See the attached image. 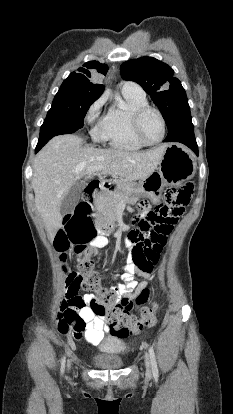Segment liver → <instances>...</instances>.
Masks as SVG:
<instances>
[{"mask_svg": "<svg viewBox=\"0 0 233 414\" xmlns=\"http://www.w3.org/2000/svg\"><path fill=\"white\" fill-rule=\"evenodd\" d=\"M83 143L77 135H59L52 138L34 159L32 187L35 205L51 239L62 226V201L72 185L96 172L93 168L102 166L103 174L119 176L127 181L143 180L155 171L167 146L138 152L98 149L83 146Z\"/></svg>", "mask_w": 233, "mask_h": 414, "instance_id": "obj_1", "label": "liver"}]
</instances>
